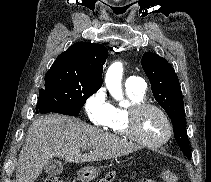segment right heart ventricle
<instances>
[{
    "label": "right heart ventricle",
    "instance_id": "e07e8e85",
    "mask_svg": "<svg viewBox=\"0 0 211 182\" xmlns=\"http://www.w3.org/2000/svg\"><path fill=\"white\" fill-rule=\"evenodd\" d=\"M127 96L131 104L144 101V93L126 89ZM129 108L121 106H113L109 119L104 128L117 135L129 136L127 132V112Z\"/></svg>",
    "mask_w": 211,
    "mask_h": 182
}]
</instances>
